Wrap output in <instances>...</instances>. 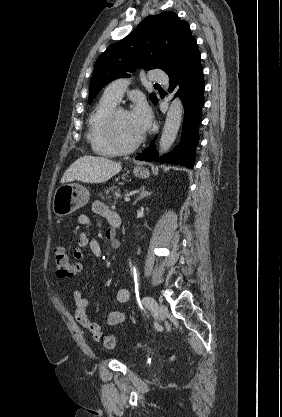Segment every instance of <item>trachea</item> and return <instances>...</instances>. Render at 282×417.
Wrapping results in <instances>:
<instances>
[{
  "label": "trachea",
  "instance_id": "trachea-1",
  "mask_svg": "<svg viewBox=\"0 0 282 417\" xmlns=\"http://www.w3.org/2000/svg\"><path fill=\"white\" fill-rule=\"evenodd\" d=\"M154 86H160L159 84H154Z\"/></svg>",
  "mask_w": 282,
  "mask_h": 417
}]
</instances>
